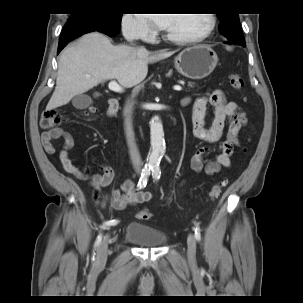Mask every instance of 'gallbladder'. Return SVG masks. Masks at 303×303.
Segmentation results:
<instances>
[{
    "instance_id": "gallbladder-1",
    "label": "gallbladder",
    "mask_w": 303,
    "mask_h": 303,
    "mask_svg": "<svg viewBox=\"0 0 303 303\" xmlns=\"http://www.w3.org/2000/svg\"><path fill=\"white\" fill-rule=\"evenodd\" d=\"M91 103H92V99L87 94L76 95L72 99V105L76 109H86L91 105Z\"/></svg>"
}]
</instances>
